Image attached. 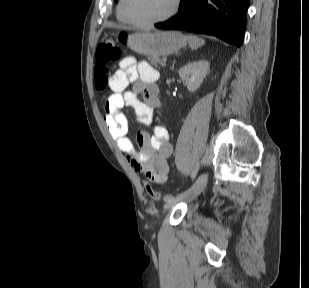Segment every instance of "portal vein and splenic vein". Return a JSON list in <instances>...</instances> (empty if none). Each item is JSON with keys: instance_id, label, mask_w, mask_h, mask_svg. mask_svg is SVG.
Instances as JSON below:
<instances>
[{"instance_id": "18ae733b", "label": "portal vein and splenic vein", "mask_w": 309, "mask_h": 288, "mask_svg": "<svg viewBox=\"0 0 309 288\" xmlns=\"http://www.w3.org/2000/svg\"><path fill=\"white\" fill-rule=\"evenodd\" d=\"M162 65H163V66L166 65V58L163 59Z\"/></svg>"}]
</instances>
